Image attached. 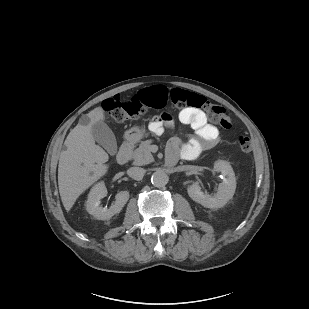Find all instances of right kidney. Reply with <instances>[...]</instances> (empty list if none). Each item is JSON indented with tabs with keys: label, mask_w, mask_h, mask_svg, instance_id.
I'll use <instances>...</instances> for the list:
<instances>
[{
	"label": "right kidney",
	"mask_w": 309,
	"mask_h": 309,
	"mask_svg": "<svg viewBox=\"0 0 309 309\" xmlns=\"http://www.w3.org/2000/svg\"><path fill=\"white\" fill-rule=\"evenodd\" d=\"M107 195V189L104 182L94 185L86 201V210L98 220H108L117 213H120L124 205L129 200L128 191H120L115 196V203L109 208H102L100 200Z\"/></svg>",
	"instance_id": "ca27d5eb"
}]
</instances>
